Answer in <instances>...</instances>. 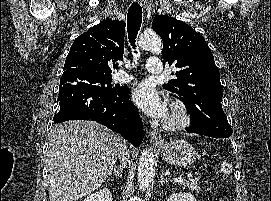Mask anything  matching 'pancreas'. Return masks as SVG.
Listing matches in <instances>:
<instances>
[{
	"mask_svg": "<svg viewBox=\"0 0 271 201\" xmlns=\"http://www.w3.org/2000/svg\"><path fill=\"white\" fill-rule=\"evenodd\" d=\"M182 185L185 187H188L192 191L200 192L201 189L198 186L197 182L195 181H190V182H182Z\"/></svg>",
	"mask_w": 271,
	"mask_h": 201,
	"instance_id": "pancreas-1",
	"label": "pancreas"
}]
</instances>
